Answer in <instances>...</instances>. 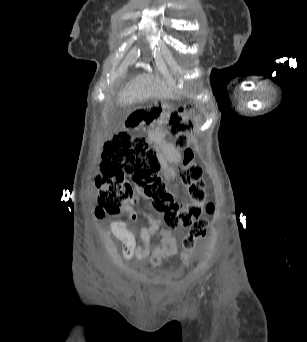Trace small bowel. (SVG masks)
I'll return each mask as SVG.
<instances>
[{"instance_id":"obj_1","label":"small bowel","mask_w":307,"mask_h":342,"mask_svg":"<svg viewBox=\"0 0 307 342\" xmlns=\"http://www.w3.org/2000/svg\"><path fill=\"white\" fill-rule=\"evenodd\" d=\"M166 159L171 162L178 163L181 159V154L173 147H169L166 152ZM164 170L167 179L170 180L174 177V173L172 169L167 166L166 161H164ZM126 212L129 214L134 213L131 207H127ZM143 214L146 220L149 222V226L142 227L138 236H136V234L130 229L126 220L116 219L111 224V231L121 245L122 255L126 261H130L133 258H137L139 260L146 259L150 254V244L152 238L154 236L159 237V232L155 231V226L160 225V221L154 218L148 212L144 211ZM102 215L103 214L100 209L96 211L97 218L102 217ZM129 220L134 219L129 218Z\"/></svg>"}]
</instances>
